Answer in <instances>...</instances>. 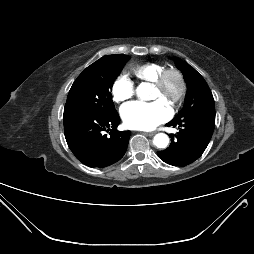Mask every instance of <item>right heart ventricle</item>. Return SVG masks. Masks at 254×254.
I'll return each mask as SVG.
<instances>
[{
	"mask_svg": "<svg viewBox=\"0 0 254 254\" xmlns=\"http://www.w3.org/2000/svg\"><path fill=\"white\" fill-rule=\"evenodd\" d=\"M162 68L156 63L137 64L131 68V74L139 81L153 82Z\"/></svg>",
	"mask_w": 254,
	"mask_h": 254,
	"instance_id": "obj_1",
	"label": "right heart ventricle"
}]
</instances>
